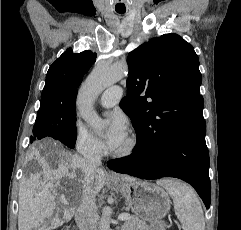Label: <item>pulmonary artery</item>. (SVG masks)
Instances as JSON below:
<instances>
[{"label":"pulmonary artery","instance_id":"1","mask_svg":"<svg viewBox=\"0 0 241 230\" xmlns=\"http://www.w3.org/2000/svg\"><path fill=\"white\" fill-rule=\"evenodd\" d=\"M122 95H123V90L121 87L119 86L110 87L106 89L101 95L100 104L106 108L112 107L118 102V100L122 97Z\"/></svg>","mask_w":241,"mask_h":230}]
</instances>
